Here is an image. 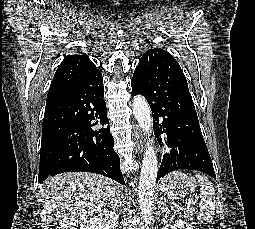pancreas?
Instances as JSON below:
<instances>
[{
  "instance_id": "obj_1",
  "label": "pancreas",
  "mask_w": 255,
  "mask_h": 229,
  "mask_svg": "<svg viewBox=\"0 0 255 229\" xmlns=\"http://www.w3.org/2000/svg\"><path fill=\"white\" fill-rule=\"evenodd\" d=\"M188 211L184 212V214L182 215L184 218H187V219H192L191 216L188 215L187 213Z\"/></svg>"
}]
</instances>
